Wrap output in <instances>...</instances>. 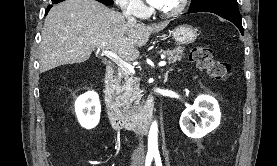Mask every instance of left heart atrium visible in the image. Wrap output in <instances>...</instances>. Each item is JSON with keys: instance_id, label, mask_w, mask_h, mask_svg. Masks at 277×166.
I'll return each instance as SVG.
<instances>
[{"instance_id": "39dd6f15", "label": "left heart atrium", "mask_w": 277, "mask_h": 166, "mask_svg": "<svg viewBox=\"0 0 277 166\" xmlns=\"http://www.w3.org/2000/svg\"><path fill=\"white\" fill-rule=\"evenodd\" d=\"M147 2L150 5H152V6L156 7V8H159L163 4L164 0H147Z\"/></svg>"}]
</instances>
